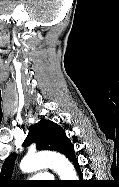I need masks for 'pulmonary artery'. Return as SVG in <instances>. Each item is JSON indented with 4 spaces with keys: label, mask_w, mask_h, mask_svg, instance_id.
Wrapping results in <instances>:
<instances>
[{
    "label": "pulmonary artery",
    "mask_w": 119,
    "mask_h": 187,
    "mask_svg": "<svg viewBox=\"0 0 119 187\" xmlns=\"http://www.w3.org/2000/svg\"><path fill=\"white\" fill-rule=\"evenodd\" d=\"M33 179H37V180H49L51 179V176L50 174L48 173H40V174H37L33 177Z\"/></svg>",
    "instance_id": "1"
}]
</instances>
